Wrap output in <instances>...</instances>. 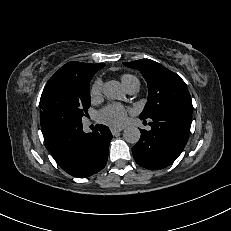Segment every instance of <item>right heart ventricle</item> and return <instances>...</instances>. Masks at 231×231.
<instances>
[{"mask_svg":"<svg viewBox=\"0 0 231 231\" xmlns=\"http://www.w3.org/2000/svg\"><path fill=\"white\" fill-rule=\"evenodd\" d=\"M136 78L133 75L130 74H124L121 76V82L127 88L132 81H134Z\"/></svg>","mask_w":231,"mask_h":231,"instance_id":"right-heart-ventricle-1","label":"right heart ventricle"}]
</instances>
